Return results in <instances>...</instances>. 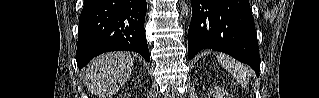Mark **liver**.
Segmentation results:
<instances>
[{
    "label": "liver",
    "mask_w": 319,
    "mask_h": 98,
    "mask_svg": "<svg viewBox=\"0 0 319 98\" xmlns=\"http://www.w3.org/2000/svg\"><path fill=\"white\" fill-rule=\"evenodd\" d=\"M133 66L134 58L127 52L102 54L88 64L84 82L92 94L109 98L127 82Z\"/></svg>",
    "instance_id": "liver-1"
}]
</instances>
